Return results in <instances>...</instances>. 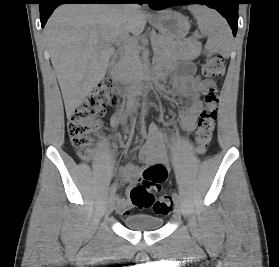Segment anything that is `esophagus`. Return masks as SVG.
Returning <instances> with one entry per match:
<instances>
[{"mask_svg": "<svg viewBox=\"0 0 279 267\" xmlns=\"http://www.w3.org/2000/svg\"><path fill=\"white\" fill-rule=\"evenodd\" d=\"M145 13H146V14H148V15H150V14H151L149 11H146V10H145Z\"/></svg>", "mask_w": 279, "mask_h": 267, "instance_id": "34e87169", "label": "esophagus"}]
</instances>
